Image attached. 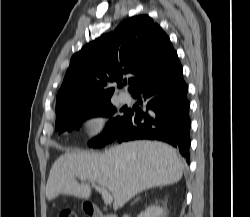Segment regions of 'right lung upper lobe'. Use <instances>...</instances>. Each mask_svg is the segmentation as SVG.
Returning a JSON list of instances; mask_svg holds the SVG:
<instances>
[{
  "label": "right lung upper lobe",
  "instance_id": "obj_1",
  "mask_svg": "<svg viewBox=\"0 0 250 217\" xmlns=\"http://www.w3.org/2000/svg\"><path fill=\"white\" fill-rule=\"evenodd\" d=\"M177 55L168 36L147 15L132 17L114 32L84 46L70 60L57 93L56 120L98 103L110 101V82L129 78L131 94L160 73Z\"/></svg>",
  "mask_w": 250,
  "mask_h": 217
}]
</instances>
